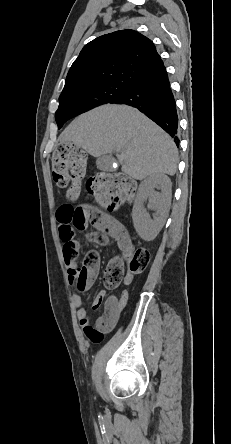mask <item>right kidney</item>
<instances>
[{"instance_id": "1", "label": "right kidney", "mask_w": 231, "mask_h": 444, "mask_svg": "<svg viewBox=\"0 0 231 444\" xmlns=\"http://www.w3.org/2000/svg\"><path fill=\"white\" fill-rule=\"evenodd\" d=\"M171 187V180L165 174H153L140 184L132 210V219L136 232L143 240H153L165 224L172 197ZM155 188L161 192H156ZM147 199L148 208L155 211L153 219L144 208Z\"/></svg>"}]
</instances>
